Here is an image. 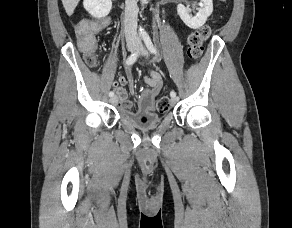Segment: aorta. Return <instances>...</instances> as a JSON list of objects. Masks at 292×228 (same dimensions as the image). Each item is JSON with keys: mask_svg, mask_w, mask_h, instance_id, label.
Wrapping results in <instances>:
<instances>
[{"mask_svg": "<svg viewBox=\"0 0 292 228\" xmlns=\"http://www.w3.org/2000/svg\"><path fill=\"white\" fill-rule=\"evenodd\" d=\"M142 5L147 3V0H141Z\"/></svg>", "mask_w": 292, "mask_h": 228, "instance_id": "obj_1", "label": "aorta"}]
</instances>
